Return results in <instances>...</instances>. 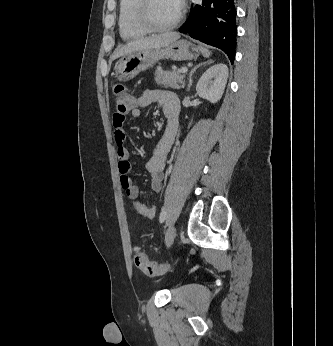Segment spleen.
I'll use <instances>...</instances> for the list:
<instances>
[{"instance_id": "obj_1", "label": "spleen", "mask_w": 333, "mask_h": 346, "mask_svg": "<svg viewBox=\"0 0 333 346\" xmlns=\"http://www.w3.org/2000/svg\"><path fill=\"white\" fill-rule=\"evenodd\" d=\"M200 50L204 57H209L211 55V52L205 47L200 46Z\"/></svg>"}]
</instances>
